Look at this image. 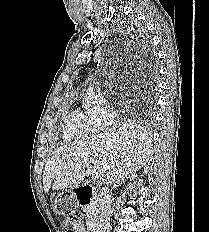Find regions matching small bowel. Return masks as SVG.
<instances>
[{"label":"small bowel","mask_w":209,"mask_h":232,"mask_svg":"<svg viewBox=\"0 0 209 232\" xmlns=\"http://www.w3.org/2000/svg\"><path fill=\"white\" fill-rule=\"evenodd\" d=\"M71 226V232H85L84 224L80 220L72 222Z\"/></svg>","instance_id":"obj_1"}]
</instances>
